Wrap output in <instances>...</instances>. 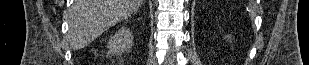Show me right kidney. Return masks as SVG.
I'll list each match as a JSON object with an SVG mask.
<instances>
[{
    "label": "right kidney",
    "mask_w": 309,
    "mask_h": 65,
    "mask_svg": "<svg viewBox=\"0 0 309 65\" xmlns=\"http://www.w3.org/2000/svg\"><path fill=\"white\" fill-rule=\"evenodd\" d=\"M132 40V33L128 29H119L108 41L110 53L121 55L124 52H130L133 43Z\"/></svg>",
    "instance_id": "1"
}]
</instances>
